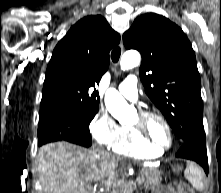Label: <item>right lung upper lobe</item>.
Returning a JSON list of instances; mask_svg holds the SVG:
<instances>
[{
  "label": "right lung upper lobe",
  "instance_id": "1",
  "mask_svg": "<svg viewBox=\"0 0 221 193\" xmlns=\"http://www.w3.org/2000/svg\"><path fill=\"white\" fill-rule=\"evenodd\" d=\"M119 42L120 35L100 15L84 17L73 25L52 53L40 110L98 107L95 85L109 67L111 48Z\"/></svg>",
  "mask_w": 221,
  "mask_h": 193
}]
</instances>
